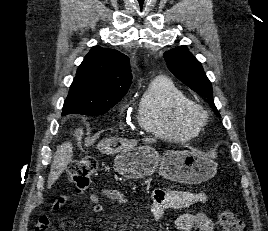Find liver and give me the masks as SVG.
<instances>
[{
	"label": "liver",
	"instance_id": "obj_1",
	"mask_svg": "<svg viewBox=\"0 0 268 231\" xmlns=\"http://www.w3.org/2000/svg\"><path fill=\"white\" fill-rule=\"evenodd\" d=\"M117 142L121 144L118 149L111 148L112 145H116ZM145 143L153 142V139H145ZM137 145L136 140H128L123 138H109L106 140H102L98 143V149L102 153L106 154H114L118 151L133 148ZM73 157V146L71 142H64L57 147L55 152L53 162L51 165V170L48 175V188L50 189L51 186L58 180L61 174L66 169L67 165L72 161Z\"/></svg>",
	"mask_w": 268,
	"mask_h": 231
}]
</instances>
